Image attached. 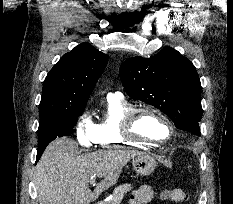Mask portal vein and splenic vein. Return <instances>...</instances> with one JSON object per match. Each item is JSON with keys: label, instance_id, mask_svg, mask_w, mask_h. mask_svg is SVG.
I'll list each match as a JSON object with an SVG mask.
<instances>
[{"label": "portal vein and splenic vein", "instance_id": "obj_1", "mask_svg": "<svg viewBox=\"0 0 233 204\" xmlns=\"http://www.w3.org/2000/svg\"><path fill=\"white\" fill-rule=\"evenodd\" d=\"M90 184L94 186L95 185V179H91Z\"/></svg>", "mask_w": 233, "mask_h": 204}]
</instances>
